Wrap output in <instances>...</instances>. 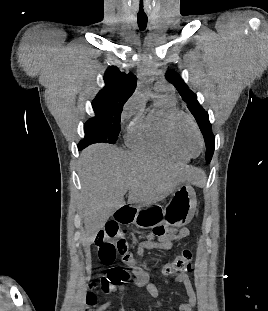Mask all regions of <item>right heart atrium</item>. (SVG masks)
Listing matches in <instances>:
<instances>
[{
    "label": "right heart atrium",
    "mask_w": 268,
    "mask_h": 311,
    "mask_svg": "<svg viewBox=\"0 0 268 311\" xmlns=\"http://www.w3.org/2000/svg\"><path fill=\"white\" fill-rule=\"evenodd\" d=\"M141 105L138 101V99L134 98L132 99L125 107L123 113H122V118L126 119L135 114L136 112L140 111Z\"/></svg>",
    "instance_id": "right-heart-atrium-1"
}]
</instances>
